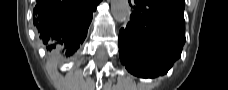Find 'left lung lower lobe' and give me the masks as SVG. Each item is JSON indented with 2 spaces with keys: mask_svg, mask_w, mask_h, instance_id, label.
Listing matches in <instances>:
<instances>
[{
  "mask_svg": "<svg viewBox=\"0 0 228 90\" xmlns=\"http://www.w3.org/2000/svg\"><path fill=\"white\" fill-rule=\"evenodd\" d=\"M185 0H129L130 22L119 32V53L127 70L142 78L167 73L185 43Z\"/></svg>",
  "mask_w": 228,
  "mask_h": 90,
  "instance_id": "0a47b994",
  "label": "left lung lower lobe"
}]
</instances>
